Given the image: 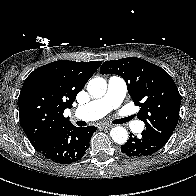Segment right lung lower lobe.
Returning <instances> with one entry per match:
<instances>
[{"mask_svg":"<svg viewBox=\"0 0 196 196\" xmlns=\"http://www.w3.org/2000/svg\"><path fill=\"white\" fill-rule=\"evenodd\" d=\"M96 127L70 125L58 132L41 146L35 148L45 158L60 164H69L82 158L89 148L91 136Z\"/></svg>","mask_w":196,"mask_h":196,"instance_id":"obj_1","label":"right lung lower lobe"}]
</instances>
